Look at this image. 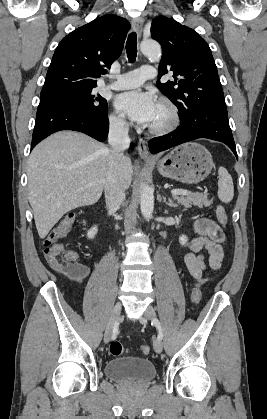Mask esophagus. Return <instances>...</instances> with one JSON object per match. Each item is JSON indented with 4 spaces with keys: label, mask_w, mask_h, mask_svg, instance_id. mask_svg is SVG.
I'll return each instance as SVG.
<instances>
[{
    "label": "esophagus",
    "mask_w": 267,
    "mask_h": 419,
    "mask_svg": "<svg viewBox=\"0 0 267 419\" xmlns=\"http://www.w3.org/2000/svg\"><path fill=\"white\" fill-rule=\"evenodd\" d=\"M131 25H132L133 30L137 33V35L139 37H141L142 27H143V19L142 18H134L131 21ZM137 149H138V154L141 158H143V159H153V157L149 154L146 143L143 139H139Z\"/></svg>",
    "instance_id": "esophagus-1"
}]
</instances>
